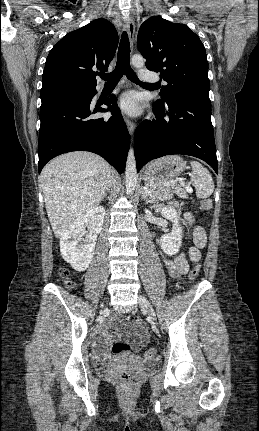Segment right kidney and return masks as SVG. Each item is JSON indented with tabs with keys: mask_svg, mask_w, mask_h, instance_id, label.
Masks as SVG:
<instances>
[{
	"mask_svg": "<svg viewBox=\"0 0 259 431\" xmlns=\"http://www.w3.org/2000/svg\"><path fill=\"white\" fill-rule=\"evenodd\" d=\"M104 216V207L96 206L78 217L62 235L60 239L61 255L76 271L86 270L91 263ZM86 226H88L89 234H86L83 239Z\"/></svg>",
	"mask_w": 259,
	"mask_h": 431,
	"instance_id": "ca27d5eb",
	"label": "right kidney"
}]
</instances>
